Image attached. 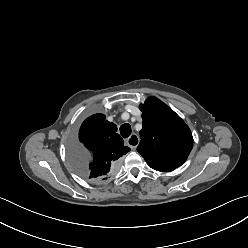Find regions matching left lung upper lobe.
<instances>
[{
  "instance_id": "left-lung-upper-lobe-1",
  "label": "left lung upper lobe",
  "mask_w": 248,
  "mask_h": 248,
  "mask_svg": "<svg viewBox=\"0 0 248 248\" xmlns=\"http://www.w3.org/2000/svg\"><path fill=\"white\" fill-rule=\"evenodd\" d=\"M139 108L143 127L137 151L154 170L173 171L186 161L193 147L189 127L156 97L147 98Z\"/></svg>"
}]
</instances>
